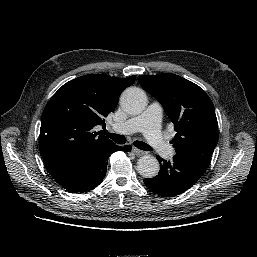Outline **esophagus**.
<instances>
[{"label":"esophagus","instance_id":"34e87169","mask_svg":"<svg viewBox=\"0 0 257 257\" xmlns=\"http://www.w3.org/2000/svg\"><path fill=\"white\" fill-rule=\"evenodd\" d=\"M132 152L136 155V156H142V155H144V151H142V150H140V149H138V148H136V147H133L132 148Z\"/></svg>","mask_w":257,"mask_h":257}]
</instances>
